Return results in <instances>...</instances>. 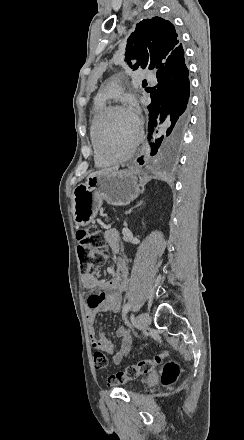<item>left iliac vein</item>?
<instances>
[{
	"instance_id": "4c4485c4",
	"label": "left iliac vein",
	"mask_w": 244,
	"mask_h": 440,
	"mask_svg": "<svg viewBox=\"0 0 244 440\" xmlns=\"http://www.w3.org/2000/svg\"><path fill=\"white\" fill-rule=\"evenodd\" d=\"M150 323V317L146 313H141L137 317V324L142 330H146Z\"/></svg>"
}]
</instances>
